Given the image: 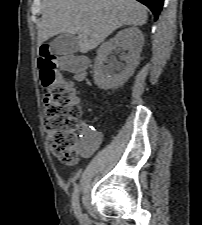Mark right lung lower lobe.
<instances>
[{
  "label": "right lung lower lobe",
  "mask_w": 202,
  "mask_h": 225,
  "mask_svg": "<svg viewBox=\"0 0 202 225\" xmlns=\"http://www.w3.org/2000/svg\"><path fill=\"white\" fill-rule=\"evenodd\" d=\"M138 1L146 5L152 11L155 19L158 18L159 13L162 10L164 0H138Z\"/></svg>",
  "instance_id": "98d812e1"
}]
</instances>
